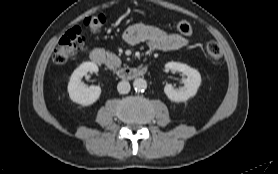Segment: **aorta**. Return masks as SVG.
<instances>
[{"label":"aorta","instance_id":"1","mask_svg":"<svg viewBox=\"0 0 278 174\" xmlns=\"http://www.w3.org/2000/svg\"><path fill=\"white\" fill-rule=\"evenodd\" d=\"M133 87L136 91H144L147 88V82L143 78H137L133 82Z\"/></svg>","mask_w":278,"mask_h":174}]
</instances>
